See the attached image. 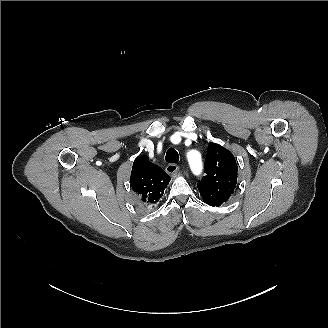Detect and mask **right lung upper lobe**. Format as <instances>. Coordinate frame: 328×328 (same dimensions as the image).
Instances as JSON below:
<instances>
[{
    "instance_id": "obj_1",
    "label": "right lung upper lobe",
    "mask_w": 328,
    "mask_h": 328,
    "mask_svg": "<svg viewBox=\"0 0 328 328\" xmlns=\"http://www.w3.org/2000/svg\"><path fill=\"white\" fill-rule=\"evenodd\" d=\"M131 186L144 205L156 204L164 194L171 180L169 175L159 166L149 161L145 155L134 160L131 172Z\"/></svg>"
}]
</instances>
